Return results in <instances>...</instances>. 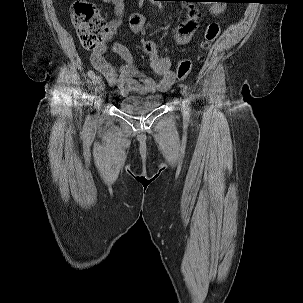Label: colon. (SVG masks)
Segmentation results:
<instances>
[{
  "instance_id": "obj_1",
  "label": "colon",
  "mask_w": 303,
  "mask_h": 303,
  "mask_svg": "<svg viewBox=\"0 0 303 303\" xmlns=\"http://www.w3.org/2000/svg\"><path fill=\"white\" fill-rule=\"evenodd\" d=\"M72 22L77 30V36L81 44L86 48H96L103 42L108 27L101 18L95 5L87 0H77L72 5ZM220 34L218 23L211 22L205 30V40L202 42L203 49H209L213 41ZM191 62L189 59L180 61L176 68L178 78H184L190 71Z\"/></svg>"
}]
</instances>
